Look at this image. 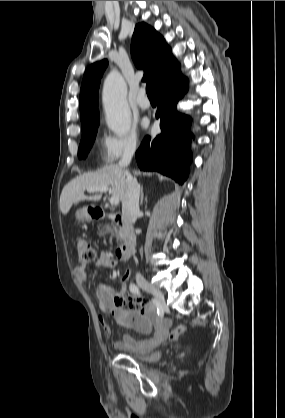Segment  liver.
Listing matches in <instances>:
<instances>
[{"mask_svg": "<svg viewBox=\"0 0 285 418\" xmlns=\"http://www.w3.org/2000/svg\"><path fill=\"white\" fill-rule=\"evenodd\" d=\"M126 172L118 165H109L96 172H88L71 180L62 190L60 196V210L66 215L72 205L80 201H97L101 199L102 192L94 196L87 197L84 192L88 188L111 187L112 197L122 200L126 189ZM134 175L140 174L133 171Z\"/></svg>", "mask_w": 285, "mask_h": 418, "instance_id": "obj_1", "label": "liver"}]
</instances>
